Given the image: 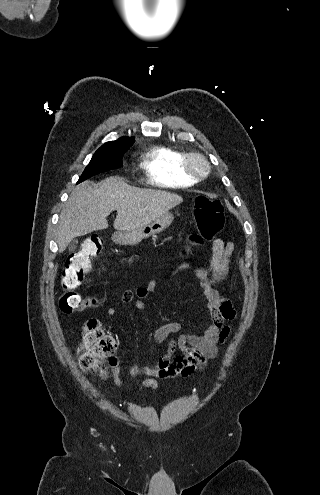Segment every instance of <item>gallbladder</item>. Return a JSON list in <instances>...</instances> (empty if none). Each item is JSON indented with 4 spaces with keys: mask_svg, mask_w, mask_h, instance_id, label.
<instances>
[{
    "mask_svg": "<svg viewBox=\"0 0 320 495\" xmlns=\"http://www.w3.org/2000/svg\"><path fill=\"white\" fill-rule=\"evenodd\" d=\"M76 245H77V241L76 240H72L69 245H68V249L70 252L74 251L75 248H76Z\"/></svg>",
    "mask_w": 320,
    "mask_h": 495,
    "instance_id": "1",
    "label": "gallbladder"
}]
</instances>
